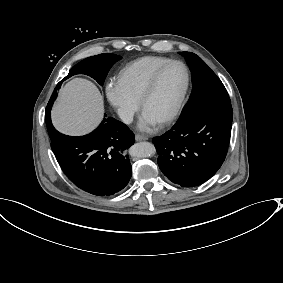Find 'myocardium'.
<instances>
[{
    "instance_id": "obj_1",
    "label": "myocardium",
    "mask_w": 283,
    "mask_h": 283,
    "mask_svg": "<svg viewBox=\"0 0 283 283\" xmlns=\"http://www.w3.org/2000/svg\"><path fill=\"white\" fill-rule=\"evenodd\" d=\"M174 64H180L184 68L186 80H185V85H184L183 91H182L174 109L167 116H165L164 118L159 120V123H162V124L170 122L174 118H176V116L180 113V111L183 107V103L185 101V98L187 96V93H188L189 88H190V83H191V73H190V69L187 66V64L185 62L181 61V60H171V61L163 64L159 68H157L147 79L145 86L143 88V91H142V93L139 97V105L142 108L144 102L152 94L159 77L163 74V72L168 67H170L171 65H174Z\"/></svg>"
}]
</instances>
